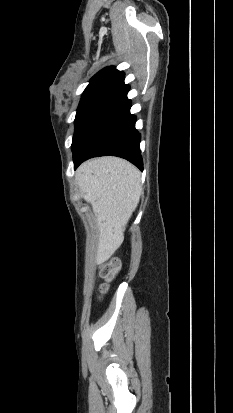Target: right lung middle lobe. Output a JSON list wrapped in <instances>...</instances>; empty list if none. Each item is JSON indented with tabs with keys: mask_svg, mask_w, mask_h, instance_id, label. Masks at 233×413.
<instances>
[{
	"mask_svg": "<svg viewBox=\"0 0 233 413\" xmlns=\"http://www.w3.org/2000/svg\"><path fill=\"white\" fill-rule=\"evenodd\" d=\"M115 83V81L94 82L89 84L83 92L75 118V133L73 136L72 148L80 137L91 114Z\"/></svg>",
	"mask_w": 233,
	"mask_h": 413,
	"instance_id": "dd1d6c3e",
	"label": "right lung middle lobe"
}]
</instances>
